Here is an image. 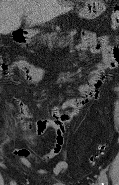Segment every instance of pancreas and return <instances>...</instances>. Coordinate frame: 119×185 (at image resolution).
<instances>
[{
	"mask_svg": "<svg viewBox=\"0 0 119 185\" xmlns=\"http://www.w3.org/2000/svg\"><path fill=\"white\" fill-rule=\"evenodd\" d=\"M75 31L70 32L69 36L64 37V36H58V33L52 32V33H47L45 35H42V40L43 42L47 41L48 44H57L58 46H66L68 44V40L72 38V36L75 34Z\"/></svg>",
	"mask_w": 119,
	"mask_h": 185,
	"instance_id": "cf45deb5",
	"label": "pancreas"
}]
</instances>
